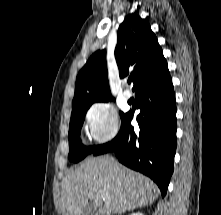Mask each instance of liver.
Returning a JSON list of instances; mask_svg holds the SVG:
<instances>
[{"mask_svg": "<svg viewBox=\"0 0 221 215\" xmlns=\"http://www.w3.org/2000/svg\"><path fill=\"white\" fill-rule=\"evenodd\" d=\"M63 215H82L91 201L100 214H122L152 204L157 185L109 156L88 158L62 183ZM104 202V205H103Z\"/></svg>", "mask_w": 221, "mask_h": 215, "instance_id": "liver-1", "label": "liver"}]
</instances>
